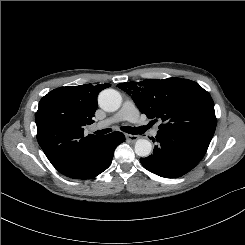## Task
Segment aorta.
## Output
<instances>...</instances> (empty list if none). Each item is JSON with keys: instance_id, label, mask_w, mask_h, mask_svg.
I'll list each match as a JSON object with an SVG mask.
<instances>
[{"instance_id": "762f6f07", "label": "aorta", "mask_w": 245, "mask_h": 245, "mask_svg": "<svg viewBox=\"0 0 245 245\" xmlns=\"http://www.w3.org/2000/svg\"><path fill=\"white\" fill-rule=\"evenodd\" d=\"M98 103L103 110L114 112L120 108L122 97L114 89H105L99 94ZM134 150L138 156L147 157L152 151V144L146 139H138L135 143Z\"/></svg>"}]
</instances>
